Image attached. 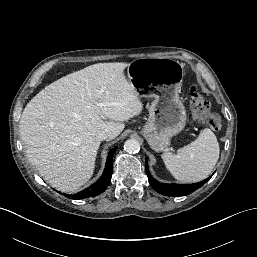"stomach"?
Returning a JSON list of instances; mask_svg holds the SVG:
<instances>
[{
	"label": "stomach",
	"mask_w": 257,
	"mask_h": 257,
	"mask_svg": "<svg viewBox=\"0 0 257 257\" xmlns=\"http://www.w3.org/2000/svg\"><path fill=\"white\" fill-rule=\"evenodd\" d=\"M184 75L182 64L170 58L136 59L127 67L134 91L147 88L153 99L142 134L157 152L167 149L171 138L185 127L186 112L179 97Z\"/></svg>",
	"instance_id": "obj_1"
}]
</instances>
